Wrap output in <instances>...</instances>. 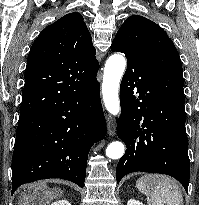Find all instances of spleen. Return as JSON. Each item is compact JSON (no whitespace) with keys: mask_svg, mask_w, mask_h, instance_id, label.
<instances>
[{"mask_svg":"<svg viewBox=\"0 0 199 205\" xmlns=\"http://www.w3.org/2000/svg\"><path fill=\"white\" fill-rule=\"evenodd\" d=\"M137 189L148 197V205H183L178 184L160 174H145L136 182Z\"/></svg>","mask_w":199,"mask_h":205,"instance_id":"obj_1","label":"spleen"}]
</instances>
